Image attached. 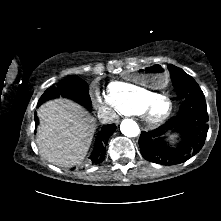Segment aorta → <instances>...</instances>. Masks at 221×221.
Returning a JSON list of instances; mask_svg holds the SVG:
<instances>
[{
	"instance_id": "762f6f07",
	"label": "aorta",
	"mask_w": 221,
	"mask_h": 221,
	"mask_svg": "<svg viewBox=\"0 0 221 221\" xmlns=\"http://www.w3.org/2000/svg\"><path fill=\"white\" fill-rule=\"evenodd\" d=\"M120 130L127 137H137L140 133L138 124L132 119H124L121 122Z\"/></svg>"
}]
</instances>
